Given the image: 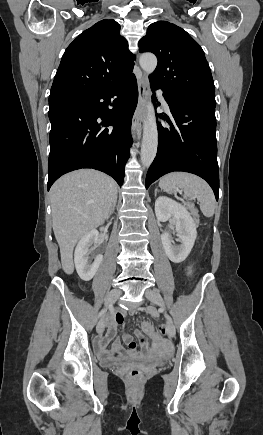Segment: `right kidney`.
Returning <instances> with one entry per match:
<instances>
[{"instance_id":"obj_1","label":"right kidney","mask_w":263,"mask_h":435,"mask_svg":"<svg viewBox=\"0 0 263 435\" xmlns=\"http://www.w3.org/2000/svg\"><path fill=\"white\" fill-rule=\"evenodd\" d=\"M106 227L100 228V231H106ZM99 239V232L97 230H91L85 234L78 242L75 254L74 262L76 271L79 277L84 281H90L96 274L103 256L97 255L93 263H91L90 249L93 243H97Z\"/></svg>"}]
</instances>
